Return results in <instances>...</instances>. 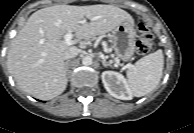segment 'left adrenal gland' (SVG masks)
<instances>
[{
    "label": "left adrenal gland",
    "instance_id": "left-adrenal-gland-1",
    "mask_svg": "<svg viewBox=\"0 0 194 133\" xmlns=\"http://www.w3.org/2000/svg\"><path fill=\"white\" fill-rule=\"evenodd\" d=\"M102 64H103L104 67H108L109 66V67L113 68V66L110 63H108L104 58L102 60Z\"/></svg>",
    "mask_w": 194,
    "mask_h": 133
}]
</instances>
